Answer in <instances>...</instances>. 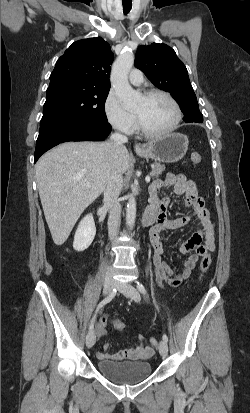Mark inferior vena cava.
I'll return each instance as SVG.
<instances>
[{
    "label": "inferior vena cava",
    "mask_w": 250,
    "mask_h": 413,
    "mask_svg": "<svg viewBox=\"0 0 250 413\" xmlns=\"http://www.w3.org/2000/svg\"><path fill=\"white\" fill-rule=\"evenodd\" d=\"M114 147H120L128 142V138L118 132H115L110 137ZM122 188V176L117 173H112L104 189V203L109 207L108 217V234L110 240H114L118 233V227L121 217V205L119 203V194Z\"/></svg>",
    "instance_id": "1"
}]
</instances>
